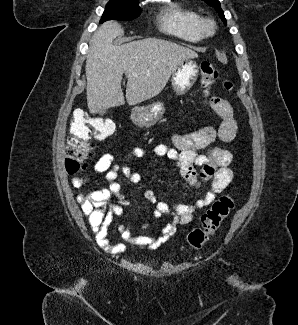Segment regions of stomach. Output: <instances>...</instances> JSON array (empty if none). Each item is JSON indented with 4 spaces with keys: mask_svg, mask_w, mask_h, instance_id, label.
<instances>
[{
    "mask_svg": "<svg viewBox=\"0 0 298 325\" xmlns=\"http://www.w3.org/2000/svg\"><path fill=\"white\" fill-rule=\"evenodd\" d=\"M199 74V68L195 60L187 58V60H182L177 64L174 72L171 76V86L177 94H186L193 84H195ZM164 102L161 100H156V102H151L147 106H139V108H134L132 110L131 118L137 126H142V128H147V126H153L156 124L157 120H160L165 114Z\"/></svg>",
    "mask_w": 298,
    "mask_h": 325,
    "instance_id": "1",
    "label": "stomach"
}]
</instances>
